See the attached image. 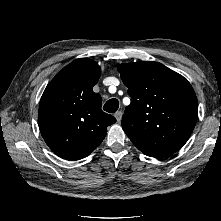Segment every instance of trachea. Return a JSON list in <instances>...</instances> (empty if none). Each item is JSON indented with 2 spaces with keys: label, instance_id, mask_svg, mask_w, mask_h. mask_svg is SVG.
Instances as JSON below:
<instances>
[{
  "label": "trachea",
  "instance_id": "3493384b",
  "mask_svg": "<svg viewBox=\"0 0 221 221\" xmlns=\"http://www.w3.org/2000/svg\"><path fill=\"white\" fill-rule=\"evenodd\" d=\"M118 108H119V101L117 99H110L103 106V109L109 113L116 112Z\"/></svg>",
  "mask_w": 221,
  "mask_h": 221
}]
</instances>
